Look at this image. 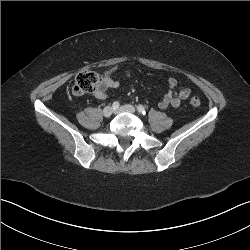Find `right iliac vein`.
Returning a JSON list of instances; mask_svg holds the SVG:
<instances>
[{
  "label": "right iliac vein",
  "mask_w": 250,
  "mask_h": 250,
  "mask_svg": "<svg viewBox=\"0 0 250 250\" xmlns=\"http://www.w3.org/2000/svg\"><path fill=\"white\" fill-rule=\"evenodd\" d=\"M113 108L110 107V106H106L104 109H103V115L105 117H110L112 114H113Z\"/></svg>",
  "instance_id": "right-iliac-vein-1"
}]
</instances>
